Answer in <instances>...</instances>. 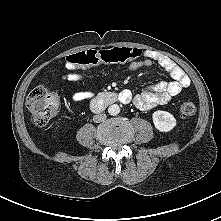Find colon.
<instances>
[{
  "label": "colon",
  "instance_id": "5ec220e1",
  "mask_svg": "<svg viewBox=\"0 0 221 221\" xmlns=\"http://www.w3.org/2000/svg\"><path fill=\"white\" fill-rule=\"evenodd\" d=\"M140 56L141 50L133 47L105 50L88 49L68 56L66 65L70 69L88 68L100 63L120 64L133 62ZM58 107V95L44 86L34 88L27 98V108L36 126L47 124L57 114ZM180 113L183 117H192L196 114V106L189 102L182 103Z\"/></svg>",
  "mask_w": 221,
  "mask_h": 221
}]
</instances>
